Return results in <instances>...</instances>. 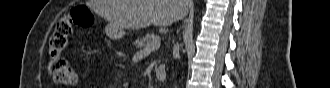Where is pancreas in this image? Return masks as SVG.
Wrapping results in <instances>:
<instances>
[{"instance_id":"cf45deb5","label":"pancreas","mask_w":330,"mask_h":88,"mask_svg":"<svg viewBox=\"0 0 330 88\" xmlns=\"http://www.w3.org/2000/svg\"><path fill=\"white\" fill-rule=\"evenodd\" d=\"M157 40H158L157 35L147 34L145 37L139 38L135 44L138 48H143L150 45L151 43H155Z\"/></svg>"}]
</instances>
